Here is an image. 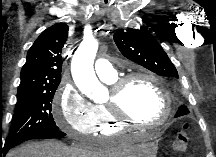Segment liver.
Listing matches in <instances>:
<instances>
[{"mask_svg": "<svg viewBox=\"0 0 216 157\" xmlns=\"http://www.w3.org/2000/svg\"><path fill=\"white\" fill-rule=\"evenodd\" d=\"M142 145L128 140L104 149L68 147L59 141L30 142L11 150L7 157H136Z\"/></svg>", "mask_w": 216, "mask_h": 157, "instance_id": "1", "label": "liver"}]
</instances>
